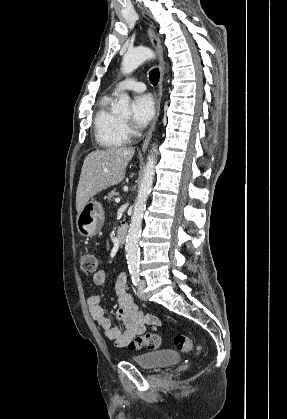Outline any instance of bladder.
<instances>
[{
    "label": "bladder",
    "mask_w": 287,
    "mask_h": 419,
    "mask_svg": "<svg viewBox=\"0 0 287 419\" xmlns=\"http://www.w3.org/2000/svg\"><path fill=\"white\" fill-rule=\"evenodd\" d=\"M180 357L171 350H159L136 356L132 361L143 369L157 370L175 365Z\"/></svg>",
    "instance_id": "obj_1"
}]
</instances>
